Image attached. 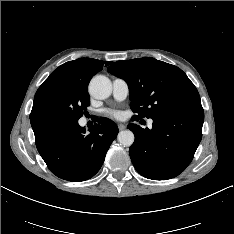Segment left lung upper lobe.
<instances>
[{
    "mask_svg": "<svg viewBox=\"0 0 234 234\" xmlns=\"http://www.w3.org/2000/svg\"><path fill=\"white\" fill-rule=\"evenodd\" d=\"M107 71L124 79L130 91L134 119L156 118L201 106L199 93L178 67L151 57L117 61Z\"/></svg>",
    "mask_w": 234,
    "mask_h": 234,
    "instance_id": "obj_1",
    "label": "left lung upper lobe"
}]
</instances>
